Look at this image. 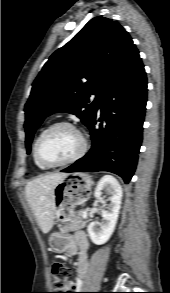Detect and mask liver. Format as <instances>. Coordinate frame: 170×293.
<instances>
[{"label":"liver","instance_id":"liver-1","mask_svg":"<svg viewBox=\"0 0 170 293\" xmlns=\"http://www.w3.org/2000/svg\"><path fill=\"white\" fill-rule=\"evenodd\" d=\"M66 173H49L28 182L25 187L27 201L43 233H48L54 224V189Z\"/></svg>","mask_w":170,"mask_h":293}]
</instances>
